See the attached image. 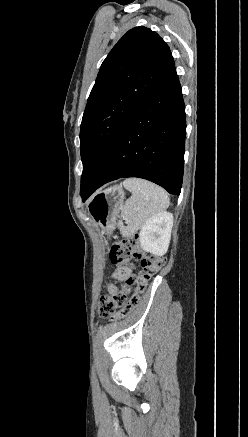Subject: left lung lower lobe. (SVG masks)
Returning a JSON list of instances; mask_svg holds the SVG:
<instances>
[{
    "instance_id": "left-lung-lower-lobe-1",
    "label": "left lung lower lobe",
    "mask_w": 248,
    "mask_h": 437,
    "mask_svg": "<svg viewBox=\"0 0 248 437\" xmlns=\"http://www.w3.org/2000/svg\"><path fill=\"white\" fill-rule=\"evenodd\" d=\"M186 118L181 85L175 66L136 109L89 189L121 177L150 180L169 193L181 192Z\"/></svg>"
}]
</instances>
